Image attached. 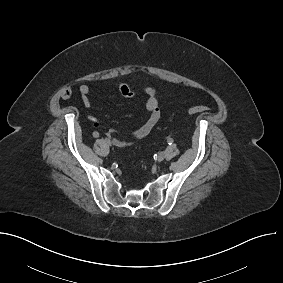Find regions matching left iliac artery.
I'll use <instances>...</instances> for the list:
<instances>
[{
    "label": "left iliac artery",
    "instance_id": "obj_1",
    "mask_svg": "<svg viewBox=\"0 0 283 283\" xmlns=\"http://www.w3.org/2000/svg\"><path fill=\"white\" fill-rule=\"evenodd\" d=\"M167 142H168V144H172V143H173V139H172V138H169V139L167 140Z\"/></svg>",
    "mask_w": 283,
    "mask_h": 283
}]
</instances>
